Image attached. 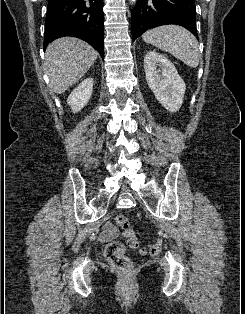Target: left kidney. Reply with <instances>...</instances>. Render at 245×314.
<instances>
[{"label": "left kidney", "instance_id": "1", "mask_svg": "<svg viewBox=\"0 0 245 314\" xmlns=\"http://www.w3.org/2000/svg\"><path fill=\"white\" fill-rule=\"evenodd\" d=\"M146 81L159 103L169 112L182 106L186 86L175 66L164 55L148 51L144 57Z\"/></svg>", "mask_w": 245, "mask_h": 314}]
</instances>
